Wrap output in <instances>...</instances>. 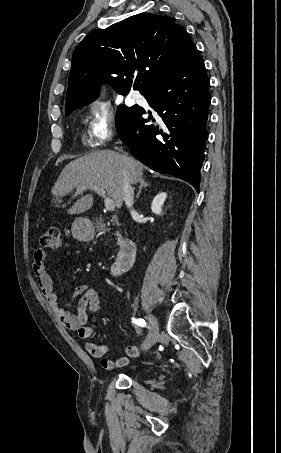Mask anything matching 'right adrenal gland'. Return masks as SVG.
Wrapping results in <instances>:
<instances>
[{
	"label": "right adrenal gland",
	"instance_id": "2a0ac1e0",
	"mask_svg": "<svg viewBox=\"0 0 281 453\" xmlns=\"http://www.w3.org/2000/svg\"><path fill=\"white\" fill-rule=\"evenodd\" d=\"M140 184H139V190L136 194V198H139V194L143 188V186H150V182H146V180H144V178H141V180H139Z\"/></svg>",
	"mask_w": 281,
	"mask_h": 453
}]
</instances>
